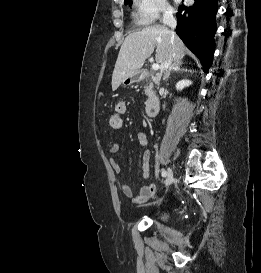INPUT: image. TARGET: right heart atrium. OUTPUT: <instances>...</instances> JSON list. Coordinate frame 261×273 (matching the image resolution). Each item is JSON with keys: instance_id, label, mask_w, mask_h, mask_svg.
Here are the masks:
<instances>
[{"instance_id": "1", "label": "right heart atrium", "mask_w": 261, "mask_h": 273, "mask_svg": "<svg viewBox=\"0 0 261 273\" xmlns=\"http://www.w3.org/2000/svg\"><path fill=\"white\" fill-rule=\"evenodd\" d=\"M134 4L138 20L142 24L149 25L172 14L166 0H134Z\"/></svg>"}]
</instances>
